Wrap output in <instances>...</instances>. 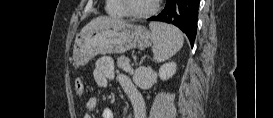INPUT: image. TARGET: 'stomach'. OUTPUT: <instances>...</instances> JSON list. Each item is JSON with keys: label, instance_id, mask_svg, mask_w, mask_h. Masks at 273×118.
I'll list each match as a JSON object with an SVG mask.
<instances>
[{"label": "stomach", "instance_id": "0dacf381", "mask_svg": "<svg viewBox=\"0 0 273 118\" xmlns=\"http://www.w3.org/2000/svg\"><path fill=\"white\" fill-rule=\"evenodd\" d=\"M151 44V33L144 26L115 21L80 33L75 39L72 57L77 66H83L97 55L124 53Z\"/></svg>", "mask_w": 273, "mask_h": 118}]
</instances>
